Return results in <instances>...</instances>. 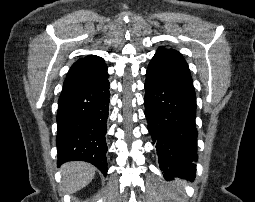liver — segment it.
<instances>
[{"label":"liver","instance_id":"obj_1","mask_svg":"<svg viewBox=\"0 0 255 202\" xmlns=\"http://www.w3.org/2000/svg\"><path fill=\"white\" fill-rule=\"evenodd\" d=\"M95 167L85 162H69L61 167L63 184L68 193H75L88 185L95 176Z\"/></svg>","mask_w":255,"mask_h":202}]
</instances>
